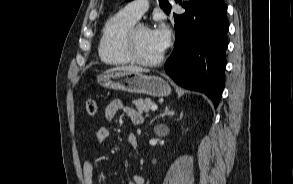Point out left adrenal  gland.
I'll use <instances>...</instances> for the list:
<instances>
[{
  "mask_svg": "<svg viewBox=\"0 0 293 184\" xmlns=\"http://www.w3.org/2000/svg\"><path fill=\"white\" fill-rule=\"evenodd\" d=\"M174 111H170L169 110V107H165V109H164V112L162 113V114H160V115H158V116H156V117H154V119H152V121H151V123L150 124H152L156 119H158V118H163V117H165V116H172V115H174Z\"/></svg>",
  "mask_w": 293,
  "mask_h": 184,
  "instance_id": "1",
  "label": "left adrenal gland"
}]
</instances>
